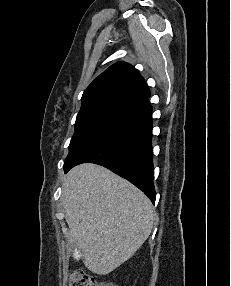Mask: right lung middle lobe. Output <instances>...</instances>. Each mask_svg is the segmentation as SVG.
<instances>
[{
    "label": "right lung middle lobe",
    "mask_w": 231,
    "mask_h": 286,
    "mask_svg": "<svg viewBox=\"0 0 231 286\" xmlns=\"http://www.w3.org/2000/svg\"><path fill=\"white\" fill-rule=\"evenodd\" d=\"M135 115V110L112 103L81 109L76 118L75 133L64 166L74 162L92 144Z\"/></svg>",
    "instance_id": "dd1d6c3e"
}]
</instances>
